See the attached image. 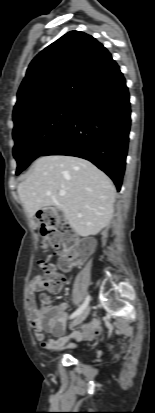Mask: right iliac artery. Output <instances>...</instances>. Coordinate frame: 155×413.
<instances>
[{
  "label": "right iliac artery",
  "instance_id": "obj_1",
  "mask_svg": "<svg viewBox=\"0 0 155 413\" xmlns=\"http://www.w3.org/2000/svg\"><path fill=\"white\" fill-rule=\"evenodd\" d=\"M90 301V296L87 295V297L85 298L83 304L70 316V318H74L76 316H78L89 304Z\"/></svg>",
  "mask_w": 155,
  "mask_h": 413
}]
</instances>
